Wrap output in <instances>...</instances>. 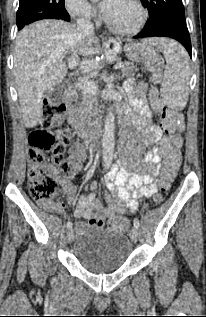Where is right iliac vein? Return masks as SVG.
<instances>
[{
  "instance_id": "1",
  "label": "right iliac vein",
  "mask_w": 206,
  "mask_h": 317,
  "mask_svg": "<svg viewBox=\"0 0 206 317\" xmlns=\"http://www.w3.org/2000/svg\"><path fill=\"white\" fill-rule=\"evenodd\" d=\"M66 239H67L68 243H71L73 241V239H74V231L72 229H69L67 231Z\"/></svg>"
}]
</instances>
